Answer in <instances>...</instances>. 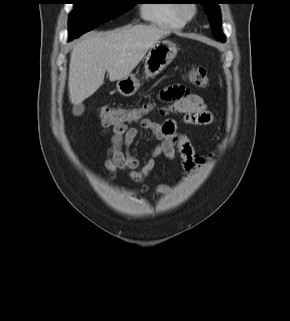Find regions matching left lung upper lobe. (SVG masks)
Listing matches in <instances>:
<instances>
[{
    "label": "left lung upper lobe",
    "mask_w": 290,
    "mask_h": 321,
    "mask_svg": "<svg viewBox=\"0 0 290 321\" xmlns=\"http://www.w3.org/2000/svg\"><path fill=\"white\" fill-rule=\"evenodd\" d=\"M200 4L204 6L205 13L208 15V19L211 25L212 33L215 39L224 41L225 37L221 29V13L217 6L218 0H200Z\"/></svg>",
    "instance_id": "1"
}]
</instances>
